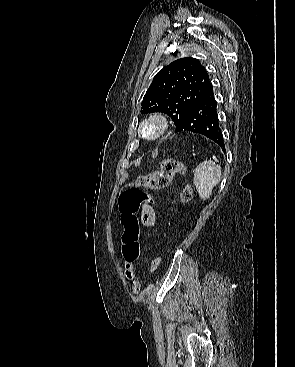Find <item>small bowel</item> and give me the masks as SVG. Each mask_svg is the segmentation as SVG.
<instances>
[{"mask_svg": "<svg viewBox=\"0 0 295 367\" xmlns=\"http://www.w3.org/2000/svg\"><path fill=\"white\" fill-rule=\"evenodd\" d=\"M142 222L145 226L153 227L156 222V216L152 206L145 204L142 211ZM123 253V249H122ZM124 273L127 280L130 282L131 289L134 293H138L142 288V281L137 276L134 266V260L127 259L124 254ZM156 269L151 267V271L154 272Z\"/></svg>", "mask_w": 295, "mask_h": 367, "instance_id": "1", "label": "small bowel"}]
</instances>
